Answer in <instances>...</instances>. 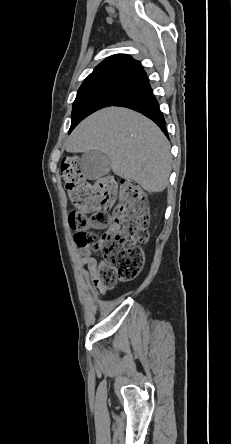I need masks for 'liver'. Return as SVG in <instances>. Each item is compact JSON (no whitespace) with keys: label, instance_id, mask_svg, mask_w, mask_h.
I'll return each instance as SVG.
<instances>
[{"label":"liver","instance_id":"obj_1","mask_svg":"<svg viewBox=\"0 0 231 444\" xmlns=\"http://www.w3.org/2000/svg\"><path fill=\"white\" fill-rule=\"evenodd\" d=\"M106 154L119 177L149 193L163 191L171 173L170 144L145 116L123 107H107L84 119L72 132L66 151Z\"/></svg>","mask_w":231,"mask_h":444}]
</instances>
